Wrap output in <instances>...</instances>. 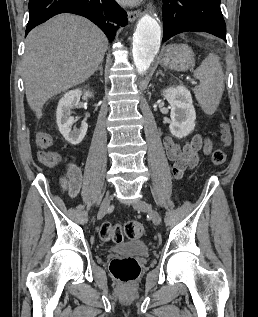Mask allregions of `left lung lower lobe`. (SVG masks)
I'll return each mask as SVG.
<instances>
[{"label":"left lung lower lobe","mask_w":258,"mask_h":317,"mask_svg":"<svg viewBox=\"0 0 258 317\" xmlns=\"http://www.w3.org/2000/svg\"><path fill=\"white\" fill-rule=\"evenodd\" d=\"M163 39L188 31L207 32L226 41L221 0H163Z\"/></svg>","instance_id":"left-lung-lower-lobe-1"}]
</instances>
